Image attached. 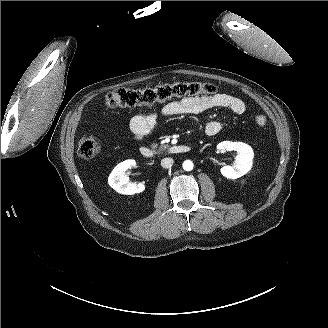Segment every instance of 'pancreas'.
I'll return each instance as SVG.
<instances>
[{"label":"pancreas","mask_w":328,"mask_h":328,"mask_svg":"<svg viewBox=\"0 0 328 328\" xmlns=\"http://www.w3.org/2000/svg\"><path fill=\"white\" fill-rule=\"evenodd\" d=\"M167 148H169V145H162L160 146V150H166Z\"/></svg>","instance_id":"obj_1"}]
</instances>
